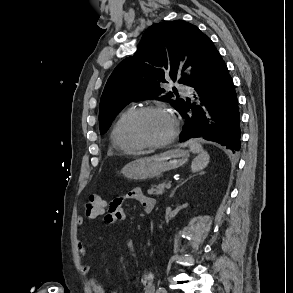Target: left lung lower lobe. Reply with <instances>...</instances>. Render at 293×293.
<instances>
[{
    "mask_svg": "<svg viewBox=\"0 0 293 293\" xmlns=\"http://www.w3.org/2000/svg\"><path fill=\"white\" fill-rule=\"evenodd\" d=\"M182 99L178 112L186 119L180 141L204 138L232 151L240 149V116L234 84L225 62L208 42L198 81Z\"/></svg>",
    "mask_w": 293,
    "mask_h": 293,
    "instance_id": "1",
    "label": "left lung lower lobe"
}]
</instances>
